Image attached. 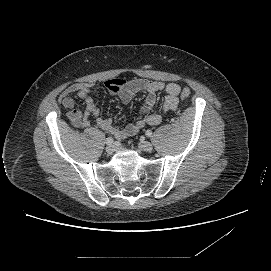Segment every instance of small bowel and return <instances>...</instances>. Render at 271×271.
<instances>
[{"mask_svg":"<svg viewBox=\"0 0 271 271\" xmlns=\"http://www.w3.org/2000/svg\"><path fill=\"white\" fill-rule=\"evenodd\" d=\"M107 90L117 95L123 103H128L138 93H145L146 97L140 109L141 117L123 128L115 126L111 118L100 117L99 107L91 97L92 84L74 83L68 86L59 96V102L67 109V118L78 128H87L90 125V119L95 118L96 124L103 130L110 132L117 139L135 135L140 129L146 126L158 125L163 117L170 112L178 109L181 87L176 83H165L162 81H150L145 79L124 80L110 79L105 82ZM164 92L165 97L159 111L153 112L156 103V94ZM76 95L84 100L86 109L81 112L74 108V99Z\"/></svg>","mask_w":271,"mask_h":271,"instance_id":"obj_1","label":"small bowel"}]
</instances>
